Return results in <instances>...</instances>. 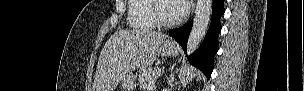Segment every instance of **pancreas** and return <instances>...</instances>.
<instances>
[{"mask_svg":"<svg viewBox=\"0 0 304 91\" xmlns=\"http://www.w3.org/2000/svg\"><path fill=\"white\" fill-rule=\"evenodd\" d=\"M162 72L163 69L159 67L147 68L143 70L138 76L140 87L144 90H148V87L154 85L155 81L159 76H161Z\"/></svg>","mask_w":304,"mask_h":91,"instance_id":"cf45deb5","label":"pancreas"}]
</instances>
